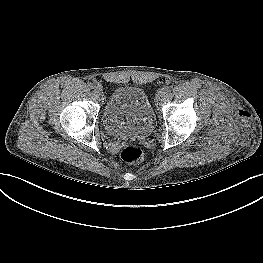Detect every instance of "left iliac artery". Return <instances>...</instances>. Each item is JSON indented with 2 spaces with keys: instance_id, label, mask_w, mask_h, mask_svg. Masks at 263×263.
<instances>
[{
  "instance_id": "obj_1",
  "label": "left iliac artery",
  "mask_w": 263,
  "mask_h": 263,
  "mask_svg": "<svg viewBox=\"0 0 263 263\" xmlns=\"http://www.w3.org/2000/svg\"><path fill=\"white\" fill-rule=\"evenodd\" d=\"M165 94H168L170 92V89L168 87L163 88V91H161Z\"/></svg>"
}]
</instances>
